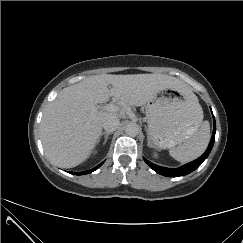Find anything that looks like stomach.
Masks as SVG:
<instances>
[{
    "label": "stomach",
    "mask_w": 243,
    "mask_h": 243,
    "mask_svg": "<svg viewBox=\"0 0 243 243\" xmlns=\"http://www.w3.org/2000/svg\"><path fill=\"white\" fill-rule=\"evenodd\" d=\"M198 99L191 91L163 90L148 102L146 118L152 143L171 148L190 138L199 128Z\"/></svg>",
    "instance_id": "1"
}]
</instances>
